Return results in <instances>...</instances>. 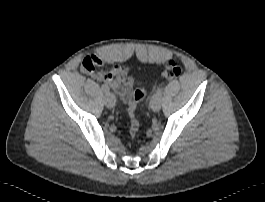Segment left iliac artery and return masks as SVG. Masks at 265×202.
<instances>
[{"label": "left iliac artery", "mask_w": 265, "mask_h": 202, "mask_svg": "<svg viewBox=\"0 0 265 202\" xmlns=\"http://www.w3.org/2000/svg\"><path fill=\"white\" fill-rule=\"evenodd\" d=\"M162 94H163V89H162V88H159V89L156 91V93H155V95L158 96V97H162ZM155 95H152L151 100H152V98H153ZM151 100H150V102H151Z\"/></svg>", "instance_id": "1"}]
</instances>
